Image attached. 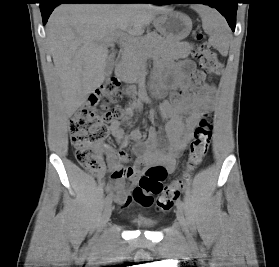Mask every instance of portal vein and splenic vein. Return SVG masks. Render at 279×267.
Returning a JSON list of instances; mask_svg holds the SVG:
<instances>
[{
    "label": "portal vein and splenic vein",
    "instance_id": "18ae733b",
    "mask_svg": "<svg viewBox=\"0 0 279 267\" xmlns=\"http://www.w3.org/2000/svg\"><path fill=\"white\" fill-rule=\"evenodd\" d=\"M120 40L121 43L127 45L131 43L133 40L129 37H127L122 31H117L116 33L112 34L110 37L105 39V43H112L116 40Z\"/></svg>",
    "mask_w": 279,
    "mask_h": 267
}]
</instances>
